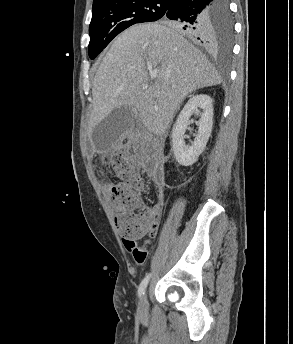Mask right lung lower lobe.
I'll use <instances>...</instances> for the list:
<instances>
[{"label": "right lung lower lobe", "instance_id": "98d812e1", "mask_svg": "<svg viewBox=\"0 0 293 344\" xmlns=\"http://www.w3.org/2000/svg\"><path fill=\"white\" fill-rule=\"evenodd\" d=\"M217 0H170L163 20L174 25L196 43L206 48L214 45L212 27Z\"/></svg>", "mask_w": 293, "mask_h": 344}]
</instances>
